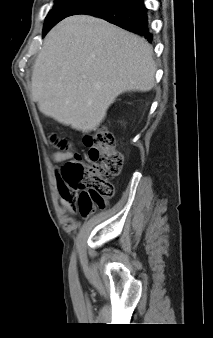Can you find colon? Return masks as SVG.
Here are the masks:
<instances>
[{
    "mask_svg": "<svg viewBox=\"0 0 213 338\" xmlns=\"http://www.w3.org/2000/svg\"><path fill=\"white\" fill-rule=\"evenodd\" d=\"M88 146L87 163L80 155L66 161L60 175H57L60 190L64 188L77 193L81 192L80 212L89 215L96 209H104V198H111L114 187L111 180L120 174L123 157L116 148L112 134L103 129L84 135ZM65 148V142L61 149Z\"/></svg>",
    "mask_w": 213,
    "mask_h": 338,
    "instance_id": "colon-1",
    "label": "colon"
}]
</instances>
